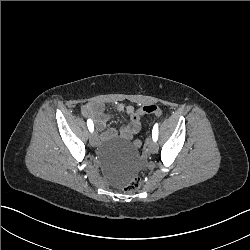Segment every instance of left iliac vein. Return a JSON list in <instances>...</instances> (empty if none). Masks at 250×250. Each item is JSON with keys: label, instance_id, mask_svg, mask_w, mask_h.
Returning a JSON list of instances; mask_svg holds the SVG:
<instances>
[{"label": "left iliac vein", "instance_id": "left-iliac-vein-1", "mask_svg": "<svg viewBox=\"0 0 250 250\" xmlns=\"http://www.w3.org/2000/svg\"><path fill=\"white\" fill-rule=\"evenodd\" d=\"M147 148H148V150H149L151 153H155V152L157 151V149H158L157 143H156L154 140L149 139V140L147 141Z\"/></svg>", "mask_w": 250, "mask_h": 250}]
</instances>
